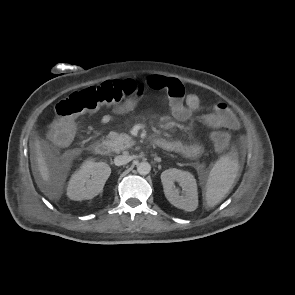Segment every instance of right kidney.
Returning a JSON list of instances; mask_svg holds the SVG:
<instances>
[{"label":"right kidney","instance_id":"obj_1","mask_svg":"<svg viewBox=\"0 0 295 295\" xmlns=\"http://www.w3.org/2000/svg\"><path fill=\"white\" fill-rule=\"evenodd\" d=\"M110 174L111 168L107 163L85 161L72 175L67 187V196L75 201L94 198L102 192Z\"/></svg>","mask_w":295,"mask_h":295}]
</instances>
